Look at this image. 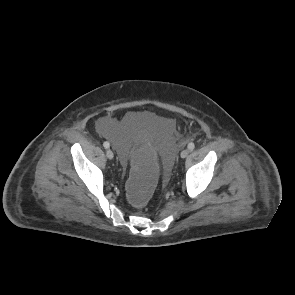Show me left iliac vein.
<instances>
[{"label":"left iliac vein","instance_id":"4c4485c4","mask_svg":"<svg viewBox=\"0 0 295 295\" xmlns=\"http://www.w3.org/2000/svg\"><path fill=\"white\" fill-rule=\"evenodd\" d=\"M189 154V150L188 149H184L182 152H181V158H185L187 157Z\"/></svg>","mask_w":295,"mask_h":295}]
</instances>
